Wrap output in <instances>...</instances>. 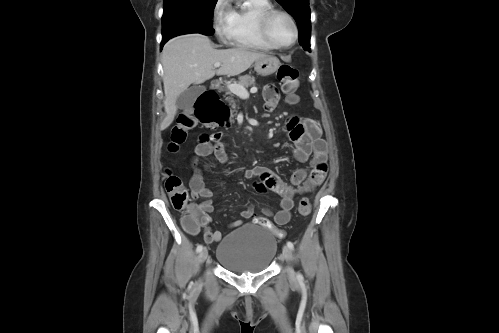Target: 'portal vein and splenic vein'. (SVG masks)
<instances>
[{
    "instance_id": "1",
    "label": "portal vein and splenic vein",
    "mask_w": 499,
    "mask_h": 333,
    "mask_svg": "<svg viewBox=\"0 0 499 333\" xmlns=\"http://www.w3.org/2000/svg\"><path fill=\"white\" fill-rule=\"evenodd\" d=\"M221 66V63L220 62H216L214 64V67L218 68ZM227 88L232 92L234 93L235 95H237L238 97L242 98V99H246L249 97V93L247 91V89L240 85V84H236V83H232V84H227ZM257 89H252L251 92L254 93L256 92Z\"/></svg>"
}]
</instances>
